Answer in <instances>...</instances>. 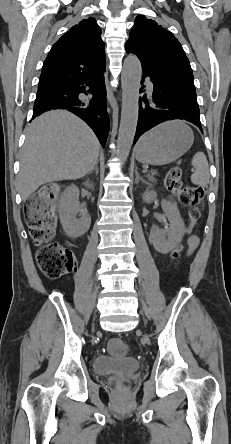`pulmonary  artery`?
<instances>
[{
    "instance_id": "1",
    "label": "pulmonary artery",
    "mask_w": 231,
    "mask_h": 444,
    "mask_svg": "<svg viewBox=\"0 0 231 444\" xmlns=\"http://www.w3.org/2000/svg\"><path fill=\"white\" fill-rule=\"evenodd\" d=\"M147 85H148V89L151 91L152 90V84L150 83L149 80H147Z\"/></svg>"
}]
</instances>
